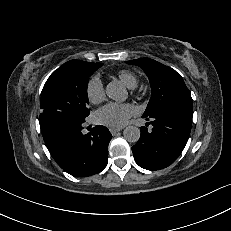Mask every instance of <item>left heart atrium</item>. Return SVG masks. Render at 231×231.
<instances>
[{"instance_id":"left-heart-atrium-1","label":"left heart atrium","mask_w":231,"mask_h":231,"mask_svg":"<svg viewBox=\"0 0 231 231\" xmlns=\"http://www.w3.org/2000/svg\"><path fill=\"white\" fill-rule=\"evenodd\" d=\"M134 113V108L129 104L108 103L97 110L94 119L99 125L119 129L127 123Z\"/></svg>"}]
</instances>
